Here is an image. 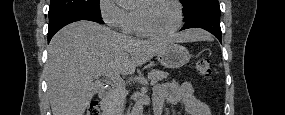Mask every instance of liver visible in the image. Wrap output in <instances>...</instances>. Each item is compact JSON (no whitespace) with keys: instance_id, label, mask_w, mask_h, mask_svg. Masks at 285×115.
<instances>
[{"instance_id":"6515ba94","label":"liver","mask_w":285,"mask_h":115,"mask_svg":"<svg viewBox=\"0 0 285 115\" xmlns=\"http://www.w3.org/2000/svg\"><path fill=\"white\" fill-rule=\"evenodd\" d=\"M208 35L198 29L172 38L141 40L91 21L62 28L50 41L46 62L47 86L53 115H83L102 83L99 71L129 75L137 66L175 42H194Z\"/></svg>"}]
</instances>
